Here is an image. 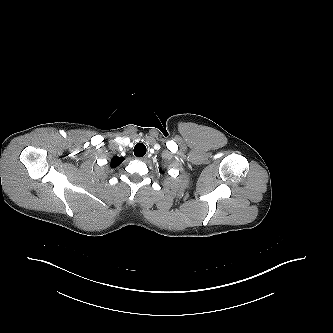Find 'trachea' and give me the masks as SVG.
<instances>
[{
    "label": "trachea",
    "instance_id": "1",
    "mask_svg": "<svg viewBox=\"0 0 333 333\" xmlns=\"http://www.w3.org/2000/svg\"><path fill=\"white\" fill-rule=\"evenodd\" d=\"M146 153V146L143 143H137L134 147V155L143 157Z\"/></svg>",
    "mask_w": 333,
    "mask_h": 333
}]
</instances>
